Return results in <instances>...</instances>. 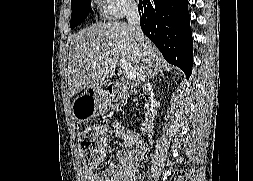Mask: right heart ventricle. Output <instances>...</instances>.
Segmentation results:
<instances>
[{"label":"right heart ventricle","mask_w":253,"mask_h":181,"mask_svg":"<svg viewBox=\"0 0 253 181\" xmlns=\"http://www.w3.org/2000/svg\"><path fill=\"white\" fill-rule=\"evenodd\" d=\"M95 6L100 10L101 13L105 12L104 6L101 0H93Z\"/></svg>","instance_id":"e07e8e85"}]
</instances>
